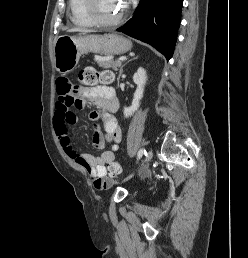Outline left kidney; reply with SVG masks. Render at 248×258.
Wrapping results in <instances>:
<instances>
[{
  "mask_svg": "<svg viewBox=\"0 0 248 258\" xmlns=\"http://www.w3.org/2000/svg\"><path fill=\"white\" fill-rule=\"evenodd\" d=\"M147 81L146 71L143 68H139L133 75V82L137 85V89L134 93L132 105L130 107H124V117L128 118L134 114L140 106V100L143 97L144 86Z\"/></svg>",
  "mask_w": 248,
  "mask_h": 258,
  "instance_id": "5707ae66",
  "label": "left kidney"
}]
</instances>
